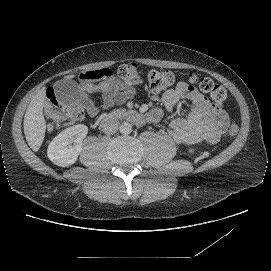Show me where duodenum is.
Instances as JSON below:
<instances>
[{
	"label": "duodenum",
	"mask_w": 271,
	"mask_h": 271,
	"mask_svg": "<svg viewBox=\"0 0 271 271\" xmlns=\"http://www.w3.org/2000/svg\"><path fill=\"white\" fill-rule=\"evenodd\" d=\"M119 119L131 121L136 124H143L144 117L137 111L131 109H116L105 114L101 120V128L104 132H111Z\"/></svg>",
	"instance_id": "410a0bca"
}]
</instances>
